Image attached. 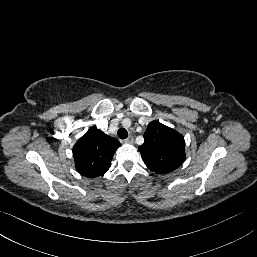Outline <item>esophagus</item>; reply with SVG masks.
I'll return each mask as SVG.
<instances>
[{"label": "esophagus", "instance_id": "34e87169", "mask_svg": "<svg viewBox=\"0 0 257 257\" xmlns=\"http://www.w3.org/2000/svg\"><path fill=\"white\" fill-rule=\"evenodd\" d=\"M127 144H133L134 143V138L133 136H129L127 139L124 141Z\"/></svg>", "mask_w": 257, "mask_h": 257}]
</instances>
